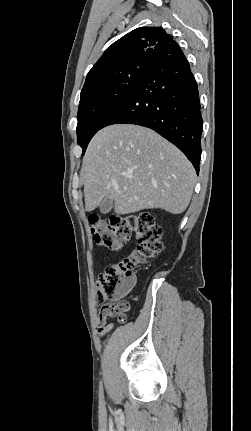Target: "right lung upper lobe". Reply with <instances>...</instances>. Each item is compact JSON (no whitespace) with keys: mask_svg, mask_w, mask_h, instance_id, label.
Wrapping results in <instances>:
<instances>
[{"mask_svg":"<svg viewBox=\"0 0 251 431\" xmlns=\"http://www.w3.org/2000/svg\"><path fill=\"white\" fill-rule=\"evenodd\" d=\"M179 45L160 27H140L113 43L88 72L84 88L135 62H147L152 54H173Z\"/></svg>","mask_w":251,"mask_h":431,"instance_id":"cb5924a9","label":"right lung upper lobe"}]
</instances>
